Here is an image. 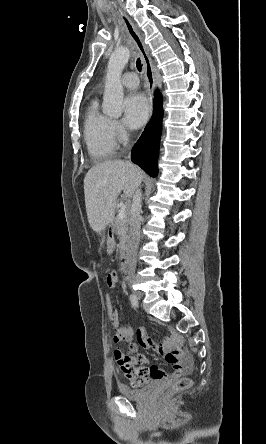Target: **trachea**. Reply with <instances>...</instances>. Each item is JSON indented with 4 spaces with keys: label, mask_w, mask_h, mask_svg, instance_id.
I'll list each match as a JSON object with an SVG mask.
<instances>
[{
    "label": "trachea",
    "mask_w": 266,
    "mask_h": 444,
    "mask_svg": "<svg viewBox=\"0 0 266 444\" xmlns=\"http://www.w3.org/2000/svg\"><path fill=\"white\" fill-rule=\"evenodd\" d=\"M136 67H137L138 71L141 72L142 64H141L140 58H138L137 61H136Z\"/></svg>",
    "instance_id": "3493384b"
}]
</instances>
